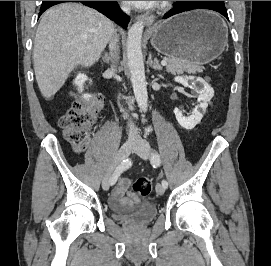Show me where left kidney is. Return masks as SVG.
Returning a JSON list of instances; mask_svg holds the SVG:
<instances>
[{"instance_id": "left-kidney-1", "label": "left kidney", "mask_w": 271, "mask_h": 266, "mask_svg": "<svg viewBox=\"0 0 271 266\" xmlns=\"http://www.w3.org/2000/svg\"><path fill=\"white\" fill-rule=\"evenodd\" d=\"M194 79L195 77L193 76H186V77L178 76L174 78L175 82L180 83L184 86H189L188 81L194 80ZM196 81L201 82L203 85V88L200 91H198L199 96H198L197 101L200 104L196 109H194V111L192 112V115H190L189 117H185L179 111L178 108L174 109L176 120L178 121L181 127L187 130L193 129L198 123H200L203 117V113L205 112L207 108V102H209L213 96V89L206 82H204L201 78H197Z\"/></svg>"}]
</instances>
